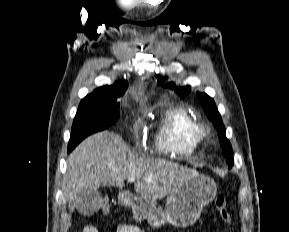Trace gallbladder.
<instances>
[{"label":"gallbladder","mask_w":289,"mask_h":232,"mask_svg":"<svg viewBox=\"0 0 289 232\" xmlns=\"http://www.w3.org/2000/svg\"><path fill=\"white\" fill-rule=\"evenodd\" d=\"M103 204V199L99 191L87 190L79 196L77 211L85 216H91L98 212Z\"/></svg>","instance_id":"gallbladder-1"}]
</instances>
